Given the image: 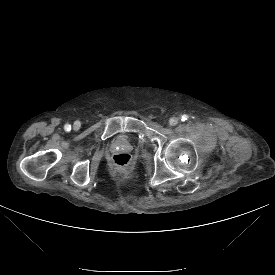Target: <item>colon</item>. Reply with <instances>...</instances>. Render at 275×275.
<instances>
[{
    "label": "colon",
    "instance_id": "colon-1",
    "mask_svg": "<svg viewBox=\"0 0 275 275\" xmlns=\"http://www.w3.org/2000/svg\"><path fill=\"white\" fill-rule=\"evenodd\" d=\"M111 163L117 168H126L131 164V156L127 153H117L111 158Z\"/></svg>",
    "mask_w": 275,
    "mask_h": 275
}]
</instances>
